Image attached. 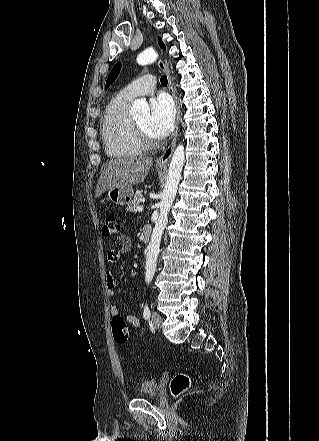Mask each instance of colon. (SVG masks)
Instances as JSON below:
<instances>
[{"label":"colon","instance_id":"1","mask_svg":"<svg viewBox=\"0 0 319 441\" xmlns=\"http://www.w3.org/2000/svg\"><path fill=\"white\" fill-rule=\"evenodd\" d=\"M102 233L106 237L118 236L120 233V225L114 214L106 216L102 226ZM112 334L116 343L124 344L128 340V327L126 320L121 316H115L112 319ZM190 386V377L186 373L176 374L170 383L171 392L178 396L188 389Z\"/></svg>","mask_w":319,"mask_h":441}]
</instances>
